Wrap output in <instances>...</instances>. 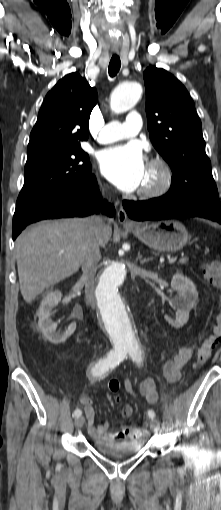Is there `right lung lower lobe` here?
Returning <instances> with one entry per match:
<instances>
[{"label": "right lung lower lobe", "mask_w": 221, "mask_h": 510, "mask_svg": "<svg viewBox=\"0 0 221 510\" xmlns=\"http://www.w3.org/2000/svg\"><path fill=\"white\" fill-rule=\"evenodd\" d=\"M99 206L108 216L115 214L114 207L100 199L96 178L91 174L85 183L46 202L26 219L21 220L14 216L12 238L14 240L30 223L44 219L87 216L96 210L99 211Z\"/></svg>", "instance_id": "obj_1"}]
</instances>
